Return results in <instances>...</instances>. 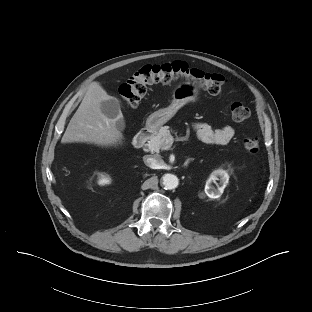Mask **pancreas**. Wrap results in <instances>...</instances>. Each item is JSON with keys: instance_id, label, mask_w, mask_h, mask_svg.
<instances>
[{"instance_id": "cf45deb5", "label": "pancreas", "mask_w": 312, "mask_h": 312, "mask_svg": "<svg viewBox=\"0 0 312 312\" xmlns=\"http://www.w3.org/2000/svg\"><path fill=\"white\" fill-rule=\"evenodd\" d=\"M172 130L169 126L161 127L160 130L153 136L150 137V140L147 143V147L151 152H159L160 149H163L170 145L174 140L173 136L171 135ZM176 134V133H175Z\"/></svg>"}]
</instances>
